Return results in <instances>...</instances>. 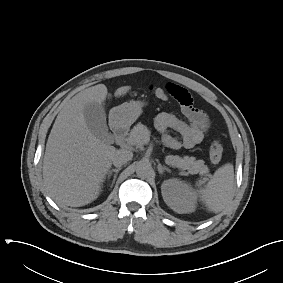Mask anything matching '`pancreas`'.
<instances>
[{"mask_svg":"<svg viewBox=\"0 0 283 283\" xmlns=\"http://www.w3.org/2000/svg\"><path fill=\"white\" fill-rule=\"evenodd\" d=\"M147 135H150L149 129L138 123L130 132L129 136L125 139L127 145L135 146L136 148H143L144 143L142 142L143 138ZM166 163L177 167L182 170H187L190 174H200L208 175L209 168L205 165L204 160H196L195 157L184 156L180 157L178 155H168L165 159Z\"/></svg>","mask_w":283,"mask_h":283,"instance_id":"1","label":"pancreas"}]
</instances>
